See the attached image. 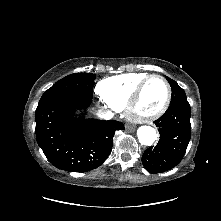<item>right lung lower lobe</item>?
Returning <instances> with one entry per match:
<instances>
[{
  "mask_svg": "<svg viewBox=\"0 0 221 221\" xmlns=\"http://www.w3.org/2000/svg\"><path fill=\"white\" fill-rule=\"evenodd\" d=\"M92 100L61 97L38 105L36 139L47 159L57 168L85 172L100 166L109 156L115 131L124 130L121 122L75 117Z\"/></svg>",
  "mask_w": 221,
  "mask_h": 221,
  "instance_id": "right-lung-lower-lobe-1",
  "label": "right lung lower lobe"
}]
</instances>
